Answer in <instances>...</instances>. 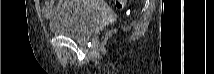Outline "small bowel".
<instances>
[{
    "label": "small bowel",
    "mask_w": 214,
    "mask_h": 74,
    "mask_svg": "<svg viewBox=\"0 0 214 74\" xmlns=\"http://www.w3.org/2000/svg\"><path fill=\"white\" fill-rule=\"evenodd\" d=\"M71 4H72V2H70V1H64V2L58 3L57 7L60 8V7H64V6H69ZM55 13H56V11H55L53 4H51L49 2H47L42 8V14L46 18H52L53 16H55Z\"/></svg>",
    "instance_id": "obj_1"
}]
</instances>
